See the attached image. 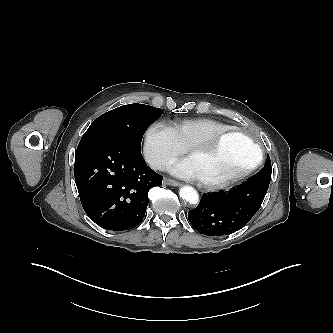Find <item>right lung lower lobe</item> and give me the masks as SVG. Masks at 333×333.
<instances>
[{"instance_id": "1", "label": "right lung lower lobe", "mask_w": 333, "mask_h": 333, "mask_svg": "<svg viewBox=\"0 0 333 333\" xmlns=\"http://www.w3.org/2000/svg\"><path fill=\"white\" fill-rule=\"evenodd\" d=\"M74 175L85 213L113 231L130 230L142 221L148 192L163 179L146 165L140 150L113 141L80 142Z\"/></svg>"}]
</instances>
